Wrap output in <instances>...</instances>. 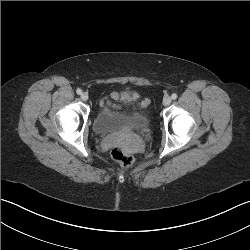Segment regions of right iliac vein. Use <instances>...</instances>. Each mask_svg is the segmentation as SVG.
<instances>
[{"label":"right iliac vein","mask_w":250,"mask_h":250,"mask_svg":"<svg viewBox=\"0 0 250 250\" xmlns=\"http://www.w3.org/2000/svg\"><path fill=\"white\" fill-rule=\"evenodd\" d=\"M88 98H89L88 93L84 92V93L81 94V99H82L83 101H87Z\"/></svg>","instance_id":"63e3f726"}]
</instances>
